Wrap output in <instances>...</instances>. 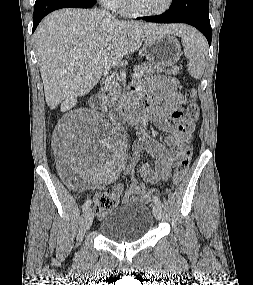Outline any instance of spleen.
<instances>
[{
  "mask_svg": "<svg viewBox=\"0 0 253 285\" xmlns=\"http://www.w3.org/2000/svg\"><path fill=\"white\" fill-rule=\"evenodd\" d=\"M184 55L189 60L188 72L195 79H201L205 69L207 42L203 35L193 28H188L181 35Z\"/></svg>",
  "mask_w": 253,
  "mask_h": 285,
  "instance_id": "3e777b00",
  "label": "spleen"
}]
</instances>
